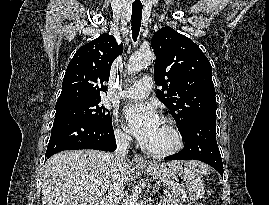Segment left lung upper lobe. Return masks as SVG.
<instances>
[{"mask_svg":"<svg viewBox=\"0 0 269 205\" xmlns=\"http://www.w3.org/2000/svg\"><path fill=\"white\" fill-rule=\"evenodd\" d=\"M156 55L154 79L157 98L170 110L180 134L195 121L216 118L212 67L197 44L171 27L151 40Z\"/></svg>","mask_w":269,"mask_h":205,"instance_id":"left-lung-upper-lobe-1","label":"left lung upper lobe"}]
</instances>
